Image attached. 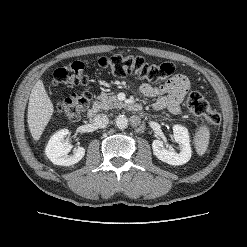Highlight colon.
<instances>
[{
	"label": "colon",
	"mask_w": 247,
	"mask_h": 247,
	"mask_svg": "<svg viewBox=\"0 0 247 247\" xmlns=\"http://www.w3.org/2000/svg\"><path fill=\"white\" fill-rule=\"evenodd\" d=\"M96 67L115 77H125L133 74L140 79L158 82L168 78L174 71L170 63L154 64L147 62L141 56L114 55L101 57ZM52 83L56 87L70 88L82 85L85 89L80 93H73L60 100L57 111L68 119H77L88 108L91 91V79L85 72L82 62H73L58 68L53 75ZM187 106L197 116L204 117L206 123L214 128L220 125L221 116L212 110L207 100L199 93L192 92L187 98Z\"/></svg>",
	"instance_id": "obj_1"
}]
</instances>
